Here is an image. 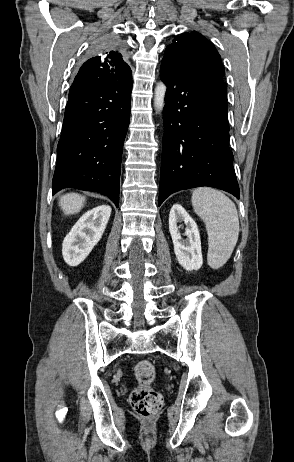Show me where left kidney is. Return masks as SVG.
I'll return each instance as SVG.
<instances>
[{
  "label": "left kidney",
  "mask_w": 294,
  "mask_h": 462,
  "mask_svg": "<svg viewBox=\"0 0 294 462\" xmlns=\"http://www.w3.org/2000/svg\"><path fill=\"white\" fill-rule=\"evenodd\" d=\"M186 225L183 239L178 223ZM169 231L172 237L174 252L179 264L187 271L198 270L203 264L200 234L196 222L180 204H174L169 214Z\"/></svg>",
  "instance_id": "1"
}]
</instances>
